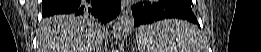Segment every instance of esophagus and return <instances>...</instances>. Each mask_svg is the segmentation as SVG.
Here are the masks:
<instances>
[{
    "label": "esophagus",
    "mask_w": 261,
    "mask_h": 52,
    "mask_svg": "<svg viewBox=\"0 0 261 52\" xmlns=\"http://www.w3.org/2000/svg\"><path fill=\"white\" fill-rule=\"evenodd\" d=\"M121 10L123 14H128L130 12V4L128 1H122Z\"/></svg>",
    "instance_id": "obj_1"
}]
</instances>
